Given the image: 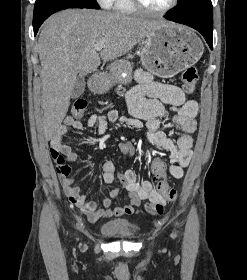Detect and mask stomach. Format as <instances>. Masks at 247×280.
I'll return each mask as SVG.
<instances>
[{
    "label": "stomach",
    "instance_id": "0dacf381",
    "mask_svg": "<svg viewBox=\"0 0 247 280\" xmlns=\"http://www.w3.org/2000/svg\"><path fill=\"white\" fill-rule=\"evenodd\" d=\"M203 51L202 41L190 28L168 24L158 27L146 37L140 61L151 73L170 78L194 65ZM110 71L109 78L92 83L90 89L102 93L111 87L113 80L128 83L132 79V64L126 60L114 61Z\"/></svg>",
    "mask_w": 247,
    "mask_h": 280
}]
</instances>
